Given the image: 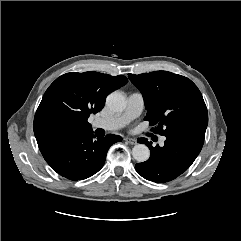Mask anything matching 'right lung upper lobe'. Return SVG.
Wrapping results in <instances>:
<instances>
[{"mask_svg": "<svg viewBox=\"0 0 241 241\" xmlns=\"http://www.w3.org/2000/svg\"><path fill=\"white\" fill-rule=\"evenodd\" d=\"M128 82L123 75L66 73L46 90L34 117L37 142L68 132L91 130L87 119L104 107L107 95Z\"/></svg>", "mask_w": 241, "mask_h": 241, "instance_id": "1", "label": "right lung upper lobe"}]
</instances>
